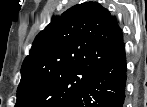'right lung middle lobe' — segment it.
<instances>
[{"label":"right lung middle lobe","mask_w":147,"mask_h":107,"mask_svg":"<svg viewBox=\"0 0 147 107\" xmlns=\"http://www.w3.org/2000/svg\"><path fill=\"white\" fill-rule=\"evenodd\" d=\"M97 69L74 66L21 76L15 107H60L85 86Z\"/></svg>","instance_id":"right-lung-middle-lobe-1"}]
</instances>
